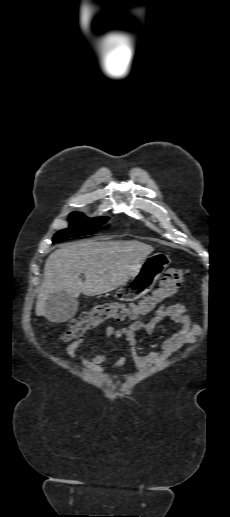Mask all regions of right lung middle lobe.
Wrapping results in <instances>:
<instances>
[{
  "instance_id": "obj_1",
  "label": "right lung middle lobe",
  "mask_w": 230,
  "mask_h": 517,
  "mask_svg": "<svg viewBox=\"0 0 230 517\" xmlns=\"http://www.w3.org/2000/svg\"><path fill=\"white\" fill-rule=\"evenodd\" d=\"M108 217L86 218L81 213L73 212L70 214V227L57 232L53 237V243L61 242L80 235L93 234L100 226L105 223Z\"/></svg>"
}]
</instances>
